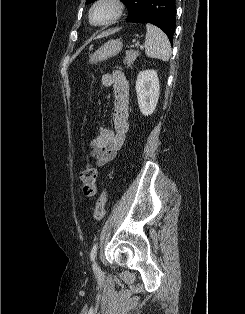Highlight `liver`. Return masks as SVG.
<instances>
[{
  "label": "liver",
  "instance_id": "6515ba94",
  "mask_svg": "<svg viewBox=\"0 0 245 314\" xmlns=\"http://www.w3.org/2000/svg\"><path fill=\"white\" fill-rule=\"evenodd\" d=\"M109 34H110L109 31L104 32V33L100 34V35L98 36V38H102V37L108 36Z\"/></svg>",
  "mask_w": 245,
  "mask_h": 314
}]
</instances>
